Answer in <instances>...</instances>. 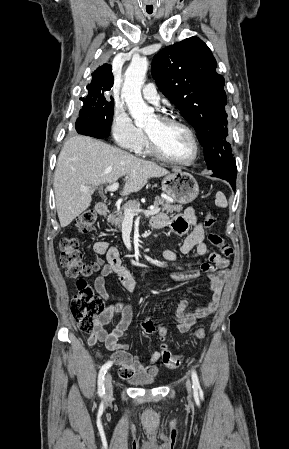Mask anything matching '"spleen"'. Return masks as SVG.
Instances as JSON below:
<instances>
[{"mask_svg":"<svg viewBox=\"0 0 289 449\" xmlns=\"http://www.w3.org/2000/svg\"><path fill=\"white\" fill-rule=\"evenodd\" d=\"M215 204L218 207H221V208H226L227 207V200H226L225 195L222 192H218L216 194Z\"/></svg>","mask_w":289,"mask_h":449,"instance_id":"obj_1","label":"spleen"}]
</instances>
